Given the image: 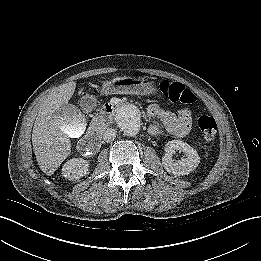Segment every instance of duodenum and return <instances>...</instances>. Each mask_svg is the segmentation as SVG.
Returning <instances> with one entry per match:
<instances>
[{
    "mask_svg": "<svg viewBox=\"0 0 261 261\" xmlns=\"http://www.w3.org/2000/svg\"><path fill=\"white\" fill-rule=\"evenodd\" d=\"M115 113L111 106H106L101 117L94 120L93 128L88 132L78 145V150L82 154H92L97 152L101 147L100 132L105 126L114 120Z\"/></svg>",
    "mask_w": 261,
    "mask_h": 261,
    "instance_id": "1",
    "label": "duodenum"
}]
</instances>
